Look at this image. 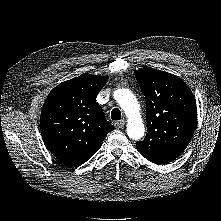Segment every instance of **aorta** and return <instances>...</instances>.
I'll use <instances>...</instances> for the list:
<instances>
[{
	"instance_id": "762f6f07",
	"label": "aorta",
	"mask_w": 221,
	"mask_h": 221,
	"mask_svg": "<svg viewBox=\"0 0 221 221\" xmlns=\"http://www.w3.org/2000/svg\"><path fill=\"white\" fill-rule=\"evenodd\" d=\"M115 99L128 117L127 134L133 140H139L145 132L140 115V106L134 94L128 89H119Z\"/></svg>"
}]
</instances>
